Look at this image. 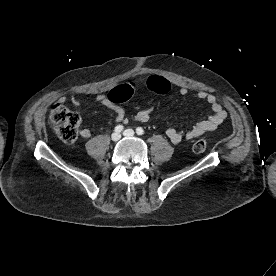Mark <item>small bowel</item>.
I'll use <instances>...</instances> for the list:
<instances>
[{"label": "small bowel", "mask_w": 276, "mask_h": 276, "mask_svg": "<svg viewBox=\"0 0 276 276\" xmlns=\"http://www.w3.org/2000/svg\"><path fill=\"white\" fill-rule=\"evenodd\" d=\"M151 79H156L157 85H158L157 88L155 89H152L148 86L152 91L159 92V93L168 92L169 87L166 86V84L160 82L159 81L160 78L153 77V78H150L148 82ZM124 87L131 93V96H133L137 92V85L134 82H129ZM178 92L180 95L184 96L188 93V89L184 86H181L179 87ZM95 98L98 103L109 108L115 113L116 122L126 123L131 119L134 121L145 123L150 120L151 114L153 112V107H148L146 109L139 111L134 116L129 118L126 115L124 108L116 104L112 100H110L106 96V94L96 93ZM197 98L208 103V105L211 108L212 114L207 119L195 123L193 126H191L189 129L185 131H179L172 127L167 128L165 131V134L173 144H179L184 140H192L207 132L213 131L217 129V127L225 120L227 115L226 111L223 108V106L219 103L217 97L214 94L208 93L206 91H199L197 93ZM59 101L62 103L66 102L67 98L63 96L59 99ZM70 101L75 106H78L81 103V99L75 94L71 96ZM80 136L85 139L89 138L91 136V131L87 128H83L80 130Z\"/></svg>", "instance_id": "small-bowel-1"}]
</instances>
